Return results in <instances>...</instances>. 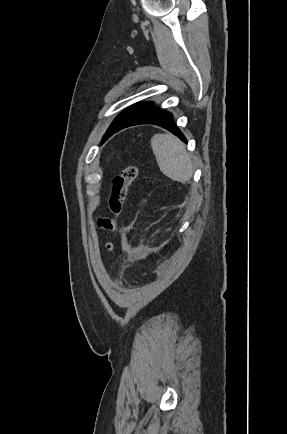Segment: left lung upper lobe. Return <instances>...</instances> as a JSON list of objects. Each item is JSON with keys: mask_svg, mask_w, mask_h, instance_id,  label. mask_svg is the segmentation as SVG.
<instances>
[{"mask_svg": "<svg viewBox=\"0 0 287 434\" xmlns=\"http://www.w3.org/2000/svg\"><path fill=\"white\" fill-rule=\"evenodd\" d=\"M152 102H139L135 105L131 106L130 108L126 109L122 113H120L113 123L110 125L109 129L107 130L106 134L103 137V142L107 140L111 135L114 134V132L131 116L135 115L136 113L140 112L144 108L152 105Z\"/></svg>", "mask_w": 287, "mask_h": 434, "instance_id": "5c2ea615", "label": "left lung upper lobe"}]
</instances>
